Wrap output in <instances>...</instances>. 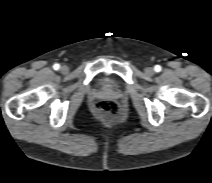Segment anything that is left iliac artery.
I'll list each match as a JSON object with an SVG mask.
<instances>
[{
	"instance_id": "left-iliac-artery-1",
	"label": "left iliac artery",
	"mask_w": 212,
	"mask_h": 183,
	"mask_svg": "<svg viewBox=\"0 0 212 183\" xmlns=\"http://www.w3.org/2000/svg\"><path fill=\"white\" fill-rule=\"evenodd\" d=\"M154 69H155L156 72H160L161 71V66L160 65H156L154 67Z\"/></svg>"
}]
</instances>
